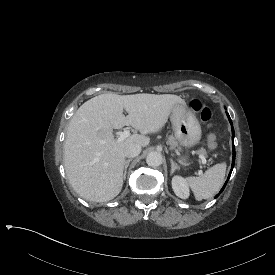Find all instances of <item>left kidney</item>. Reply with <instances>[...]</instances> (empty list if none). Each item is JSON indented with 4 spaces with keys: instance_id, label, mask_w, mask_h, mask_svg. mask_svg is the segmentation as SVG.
<instances>
[{
    "instance_id": "1",
    "label": "left kidney",
    "mask_w": 275,
    "mask_h": 275,
    "mask_svg": "<svg viewBox=\"0 0 275 275\" xmlns=\"http://www.w3.org/2000/svg\"><path fill=\"white\" fill-rule=\"evenodd\" d=\"M172 188L174 193L182 198L187 199L189 197V188L186 180L181 176H174L172 178Z\"/></svg>"
}]
</instances>
